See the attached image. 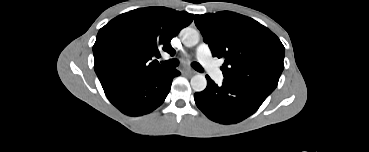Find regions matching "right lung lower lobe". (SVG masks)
Returning <instances> with one entry per match:
<instances>
[{"instance_id": "98d812e1", "label": "right lung lower lobe", "mask_w": 369, "mask_h": 152, "mask_svg": "<svg viewBox=\"0 0 369 152\" xmlns=\"http://www.w3.org/2000/svg\"><path fill=\"white\" fill-rule=\"evenodd\" d=\"M180 75L176 69L139 76L105 92L109 101L122 113L140 116L159 107L170 91L172 80Z\"/></svg>"}]
</instances>
